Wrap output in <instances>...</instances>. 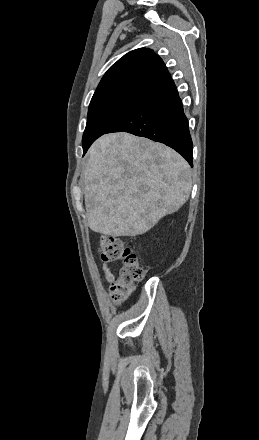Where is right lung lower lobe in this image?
Here are the masks:
<instances>
[{"mask_svg":"<svg viewBox=\"0 0 259 440\" xmlns=\"http://www.w3.org/2000/svg\"><path fill=\"white\" fill-rule=\"evenodd\" d=\"M121 131L164 143L193 166L188 120L170 73L148 90L138 104L106 133ZM91 144L83 148L84 154Z\"/></svg>","mask_w":259,"mask_h":440,"instance_id":"98d812e1","label":"right lung lower lobe"}]
</instances>
